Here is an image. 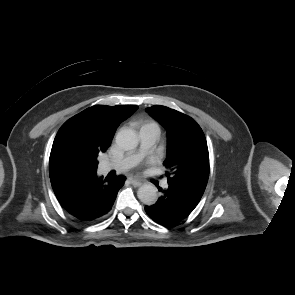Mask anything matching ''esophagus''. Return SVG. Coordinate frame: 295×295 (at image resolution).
I'll return each mask as SVG.
<instances>
[{"instance_id":"1","label":"esophagus","mask_w":295,"mask_h":295,"mask_svg":"<svg viewBox=\"0 0 295 295\" xmlns=\"http://www.w3.org/2000/svg\"><path fill=\"white\" fill-rule=\"evenodd\" d=\"M130 182H131V184H132L133 186H135V187H139V186L142 185V182H141V181L136 180V179H134V178H131V179H130Z\"/></svg>"}]
</instances>
